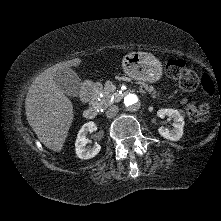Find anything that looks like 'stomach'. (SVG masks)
Wrapping results in <instances>:
<instances>
[{"label":"stomach","mask_w":221,"mask_h":221,"mask_svg":"<svg viewBox=\"0 0 221 221\" xmlns=\"http://www.w3.org/2000/svg\"><path fill=\"white\" fill-rule=\"evenodd\" d=\"M127 76L140 82L155 83L162 77L161 62L150 53L131 52L122 62Z\"/></svg>","instance_id":"obj_1"}]
</instances>
